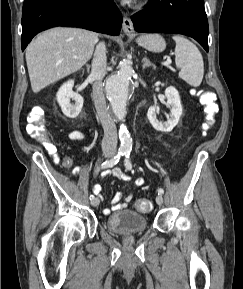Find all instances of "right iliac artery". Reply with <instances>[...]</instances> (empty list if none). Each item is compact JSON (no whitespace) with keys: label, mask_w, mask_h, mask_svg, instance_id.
<instances>
[{"label":"right iliac artery","mask_w":243,"mask_h":289,"mask_svg":"<svg viewBox=\"0 0 243 289\" xmlns=\"http://www.w3.org/2000/svg\"><path fill=\"white\" fill-rule=\"evenodd\" d=\"M124 155L123 151H119L113 158H111L110 160H106L105 162L102 163L101 168L105 169L108 167H113L115 164L118 163V161L120 160L121 156ZM100 168L97 169V171H99ZM94 198V195H90V200Z\"/></svg>","instance_id":"82829eb1"}]
</instances>
